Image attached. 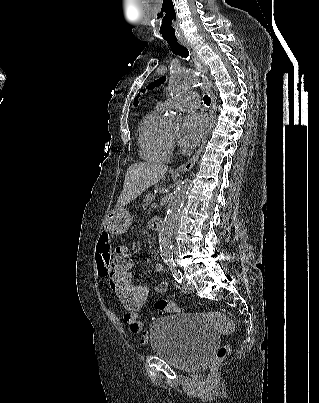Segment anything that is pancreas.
<instances>
[{
	"mask_svg": "<svg viewBox=\"0 0 319 403\" xmlns=\"http://www.w3.org/2000/svg\"><path fill=\"white\" fill-rule=\"evenodd\" d=\"M155 196L153 194H147L143 200V208L150 206L154 201Z\"/></svg>",
	"mask_w": 319,
	"mask_h": 403,
	"instance_id": "1",
	"label": "pancreas"
}]
</instances>
